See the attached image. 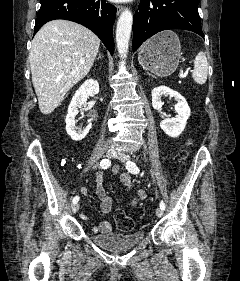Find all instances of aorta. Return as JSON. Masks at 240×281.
Listing matches in <instances>:
<instances>
[{
  "label": "aorta",
  "instance_id": "1",
  "mask_svg": "<svg viewBox=\"0 0 240 281\" xmlns=\"http://www.w3.org/2000/svg\"><path fill=\"white\" fill-rule=\"evenodd\" d=\"M133 16L129 9H124L119 16L116 27V43L118 53L122 58L127 57L129 40L132 31Z\"/></svg>",
  "mask_w": 240,
  "mask_h": 281
}]
</instances>
